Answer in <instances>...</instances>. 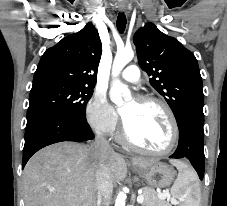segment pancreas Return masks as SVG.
Instances as JSON below:
<instances>
[{"instance_id":"obj_1","label":"pancreas","mask_w":227,"mask_h":206,"mask_svg":"<svg viewBox=\"0 0 227 206\" xmlns=\"http://www.w3.org/2000/svg\"><path fill=\"white\" fill-rule=\"evenodd\" d=\"M142 195L144 196V201L142 206H171L164 199L159 198L156 191L151 187H143Z\"/></svg>"}]
</instances>
